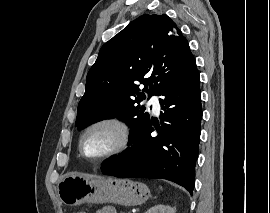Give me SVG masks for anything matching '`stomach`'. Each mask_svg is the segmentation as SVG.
<instances>
[{
	"label": "stomach",
	"mask_w": 270,
	"mask_h": 213,
	"mask_svg": "<svg viewBox=\"0 0 270 213\" xmlns=\"http://www.w3.org/2000/svg\"><path fill=\"white\" fill-rule=\"evenodd\" d=\"M57 192L60 201L68 206L106 202L135 206L150 197L149 188L141 182L80 173L64 175L57 185Z\"/></svg>",
	"instance_id": "obj_1"
}]
</instances>
